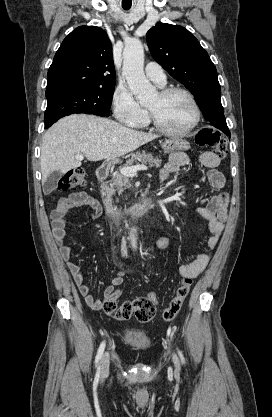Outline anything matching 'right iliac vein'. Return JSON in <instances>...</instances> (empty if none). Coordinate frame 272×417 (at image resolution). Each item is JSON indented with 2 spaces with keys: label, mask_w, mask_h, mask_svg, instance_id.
I'll return each mask as SVG.
<instances>
[{
  "label": "right iliac vein",
  "mask_w": 272,
  "mask_h": 417,
  "mask_svg": "<svg viewBox=\"0 0 272 417\" xmlns=\"http://www.w3.org/2000/svg\"><path fill=\"white\" fill-rule=\"evenodd\" d=\"M109 363H110V357L109 353L105 352L103 355L102 361H101V375L104 376L109 371Z\"/></svg>",
  "instance_id": "1"
}]
</instances>
